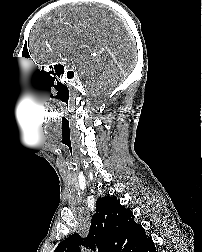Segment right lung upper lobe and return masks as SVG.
Returning <instances> with one entry per match:
<instances>
[{"instance_id":"right-lung-upper-lobe-1","label":"right lung upper lobe","mask_w":202,"mask_h":252,"mask_svg":"<svg viewBox=\"0 0 202 252\" xmlns=\"http://www.w3.org/2000/svg\"><path fill=\"white\" fill-rule=\"evenodd\" d=\"M90 231L84 243L94 252H143L153 241L131 210L120 205L116 197H102L96 202ZM82 239L75 233L63 240L54 252H80Z\"/></svg>"}]
</instances>
